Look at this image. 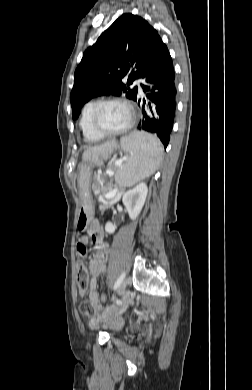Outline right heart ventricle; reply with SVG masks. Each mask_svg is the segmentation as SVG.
<instances>
[{"label":"right heart ventricle","instance_id":"right-heart-ventricle-1","mask_svg":"<svg viewBox=\"0 0 252 390\" xmlns=\"http://www.w3.org/2000/svg\"><path fill=\"white\" fill-rule=\"evenodd\" d=\"M96 103L97 101L91 100L84 105L79 122L85 140L91 143L98 142L104 138L103 135L93 128L91 123V113Z\"/></svg>","mask_w":252,"mask_h":390}]
</instances>
